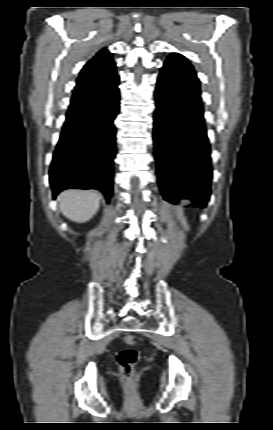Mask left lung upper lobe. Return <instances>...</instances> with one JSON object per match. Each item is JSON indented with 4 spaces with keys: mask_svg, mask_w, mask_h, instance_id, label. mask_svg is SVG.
Segmentation results:
<instances>
[{
    "mask_svg": "<svg viewBox=\"0 0 273 430\" xmlns=\"http://www.w3.org/2000/svg\"><path fill=\"white\" fill-rule=\"evenodd\" d=\"M161 74L170 78L181 76L179 88L201 97V87L197 74L188 60L179 53H171L164 62Z\"/></svg>",
    "mask_w": 273,
    "mask_h": 430,
    "instance_id": "5c2ea615",
    "label": "left lung upper lobe"
}]
</instances>
